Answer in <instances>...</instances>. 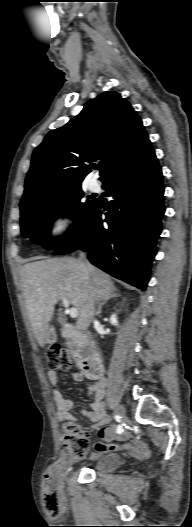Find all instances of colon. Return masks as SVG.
<instances>
[{"mask_svg": "<svg viewBox=\"0 0 192 527\" xmlns=\"http://www.w3.org/2000/svg\"><path fill=\"white\" fill-rule=\"evenodd\" d=\"M48 363L52 369L61 371H68L73 367L70 355L59 346H52L49 349ZM62 443L70 458L80 459L90 447L89 434L75 420L67 421L62 428ZM45 502L47 506L57 505L55 494H47Z\"/></svg>", "mask_w": 192, "mask_h": 527, "instance_id": "obj_1", "label": "colon"}]
</instances>
